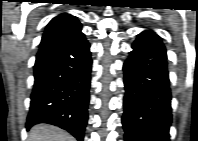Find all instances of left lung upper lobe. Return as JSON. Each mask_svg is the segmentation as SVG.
I'll return each instance as SVG.
<instances>
[{"label":"left lung upper lobe","mask_w":198,"mask_h":141,"mask_svg":"<svg viewBox=\"0 0 198 141\" xmlns=\"http://www.w3.org/2000/svg\"><path fill=\"white\" fill-rule=\"evenodd\" d=\"M139 35H150V36L159 37L155 32H153L151 30H145V31L141 32V34H139ZM145 99L141 100V102H142L141 106L143 107V110L149 111V105H150L149 103L150 102L148 100H145Z\"/></svg>","instance_id":"obj_1"}]
</instances>
